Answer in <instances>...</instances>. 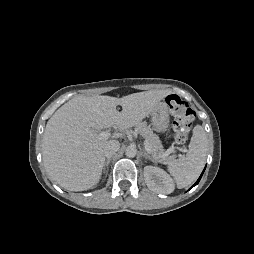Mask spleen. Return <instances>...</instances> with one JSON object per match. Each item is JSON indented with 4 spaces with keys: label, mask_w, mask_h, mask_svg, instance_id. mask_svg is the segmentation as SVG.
Instances as JSON below:
<instances>
[{
    "label": "spleen",
    "mask_w": 254,
    "mask_h": 254,
    "mask_svg": "<svg viewBox=\"0 0 254 254\" xmlns=\"http://www.w3.org/2000/svg\"><path fill=\"white\" fill-rule=\"evenodd\" d=\"M207 146V135L203 127L196 125L187 154L168 164V170L178 188L187 187L199 176L206 161Z\"/></svg>",
    "instance_id": "1"
}]
</instances>
